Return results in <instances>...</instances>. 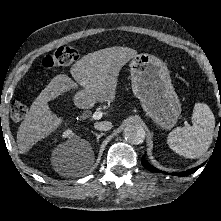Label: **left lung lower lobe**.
Wrapping results in <instances>:
<instances>
[{"label": "left lung lower lobe", "instance_id": "0a47b994", "mask_svg": "<svg viewBox=\"0 0 221 221\" xmlns=\"http://www.w3.org/2000/svg\"><path fill=\"white\" fill-rule=\"evenodd\" d=\"M142 165L148 169L149 171H153V172H156L157 169L154 168L153 166H151L146 160H145V155H143L142 157ZM201 167V166H199ZM199 167H196V168H193V169H190V170H187L185 172H181V173H172V175H178V176H187L193 172H195Z\"/></svg>", "mask_w": 221, "mask_h": 221}]
</instances>
